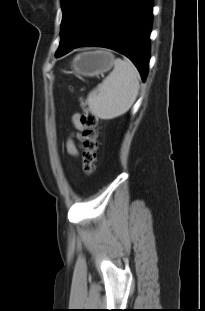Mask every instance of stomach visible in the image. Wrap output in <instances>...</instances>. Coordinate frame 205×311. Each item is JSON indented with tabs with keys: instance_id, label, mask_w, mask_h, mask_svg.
<instances>
[{
	"instance_id": "1",
	"label": "stomach",
	"mask_w": 205,
	"mask_h": 311,
	"mask_svg": "<svg viewBox=\"0 0 205 311\" xmlns=\"http://www.w3.org/2000/svg\"><path fill=\"white\" fill-rule=\"evenodd\" d=\"M115 57L106 50L80 53L71 62V71L77 76L95 77L108 72L114 65Z\"/></svg>"
}]
</instances>
